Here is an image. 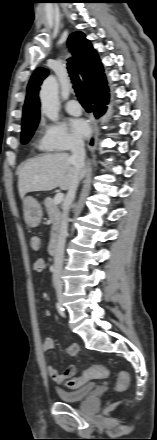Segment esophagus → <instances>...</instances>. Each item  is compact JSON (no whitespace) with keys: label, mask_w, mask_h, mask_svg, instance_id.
<instances>
[{"label":"esophagus","mask_w":157,"mask_h":440,"mask_svg":"<svg viewBox=\"0 0 157 440\" xmlns=\"http://www.w3.org/2000/svg\"><path fill=\"white\" fill-rule=\"evenodd\" d=\"M90 126L92 130V134L88 140L87 147L90 151H93L96 148L97 145V139H98V129L96 126V122L93 116H91L90 119Z\"/></svg>","instance_id":"1"}]
</instances>
